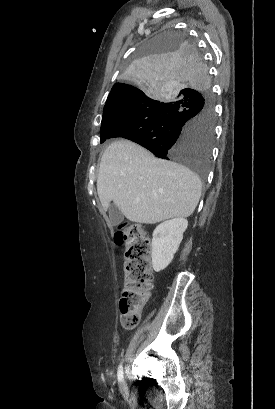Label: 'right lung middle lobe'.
I'll list each match as a JSON object with an SVG mask.
<instances>
[{
  "label": "right lung middle lobe",
  "instance_id": "right-lung-middle-lobe-1",
  "mask_svg": "<svg viewBox=\"0 0 275 409\" xmlns=\"http://www.w3.org/2000/svg\"><path fill=\"white\" fill-rule=\"evenodd\" d=\"M140 49L130 50L123 82L146 92L103 112L100 142L129 139L159 158L191 167L206 182L213 107L202 53L185 34L170 30H163L159 38L150 36Z\"/></svg>",
  "mask_w": 275,
  "mask_h": 409
}]
</instances>
